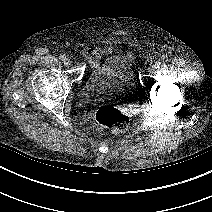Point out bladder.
Returning a JSON list of instances; mask_svg holds the SVG:
<instances>
[{
  "instance_id": "bladder-1",
  "label": "bladder",
  "mask_w": 212,
  "mask_h": 212,
  "mask_svg": "<svg viewBox=\"0 0 212 212\" xmlns=\"http://www.w3.org/2000/svg\"><path fill=\"white\" fill-rule=\"evenodd\" d=\"M135 90L130 62L120 57H111L90 71L76 101L82 107L124 102L134 96Z\"/></svg>"
}]
</instances>
